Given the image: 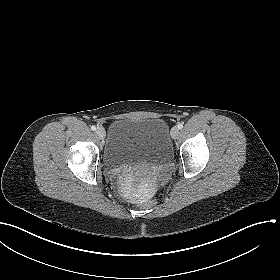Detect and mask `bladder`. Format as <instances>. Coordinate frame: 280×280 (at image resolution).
Listing matches in <instances>:
<instances>
[{"instance_id": "31cf9c89", "label": "bladder", "mask_w": 280, "mask_h": 280, "mask_svg": "<svg viewBox=\"0 0 280 280\" xmlns=\"http://www.w3.org/2000/svg\"><path fill=\"white\" fill-rule=\"evenodd\" d=\"M167 123L156 117H125L109 128L103 164L113 169L124 163L159 164L171 156Z\"/></svg>"}]
</instances>
